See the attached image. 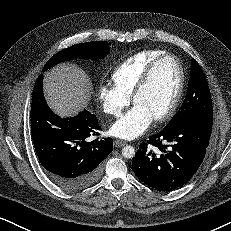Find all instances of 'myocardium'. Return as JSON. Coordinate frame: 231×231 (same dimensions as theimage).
I'll list each match as a JSON object with an SVG mask.
<instances>
[{
    "instance_id": "myocardium-1",
    "label": "myocardium",
    "mask_w": 231,
    "mask_h": 231,
    "mask_svg": "<svg viewBox=\"0 0 231 231\" xmlns=\"http://www.w3.org/2000/svg\"><path fill=\"white\" fill-rule=\"evenodd\" d=\"M168 58L173 59L178 66V73H179L178 86H177L176 92L174 94V97H173L169 107L166 109V111L164 113H162L160 116H158L154 119V121L157 123L168 120L175 113V111L179 105V102L181 100V97H182V94L184 91V87H185V71H184V67H183V64L180 61V59L171 53H163V54L159 55L158 57H156L155 59H153L147 65L145 70L143 71V73H142L133 93H132V96H131L132 103L135 104L137 97L141 94V92L145 89V87L149 83V80H150L152 73H153L154 69L156 68V66L161 61L168 59Z\"/></svg>"
}]
</instances>
